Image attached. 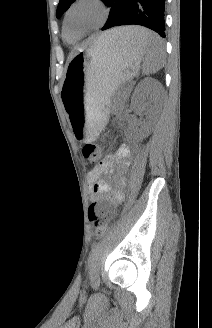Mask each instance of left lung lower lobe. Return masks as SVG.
I'll return each instance as SVG.
<instances>
[{"mask_svg":"<svg viewBox=\"0 0 212 328\" xmlns=\"http://www.w3.org/2000/svg\"><path fill=\"white\" fill-rule=\"evenodd\" d=\"M104 3L110 7V14L102 30L135 24L165 37V0H106Z\"/></svg>","mask_w":212,"mask_h":328,"instance_id":"0a47b994","label":"left lung lower lobe"}]
</instances>
